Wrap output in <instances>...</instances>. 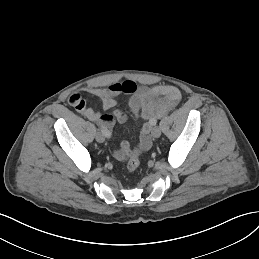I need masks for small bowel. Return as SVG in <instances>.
<instances>
[{"mask_svg": "<svg viewBox=\"0 0 259 259\" xmlns=\"http://www.w3.org/2000/svg\"><path fill=\"white\" fill-rule=\"evenodd\" d=\"M82 91L100 98L102 107L106 111L116 106L119 95H131L128 107L133 112H139L145 120L139 136V152H146L150 149L152 145L150 131L157 119L165 116L181 100L179 89L172 85L137 86L130 80L122 83H113L106 87L89 85L83 87ZM68 101L81 115L108 131L116 122L124 123L127 119L126 114L120 110H114L112 114L93 110L86 105L85 100L79 93L71 94ZM132 152L128 142L124 141L121 147L113 152V156L117 160H125Z\"/></svg>", "mask_w": 259, "mask_h": 259, "instance_id": "1", "label": "small bowel"}]
</instances>
